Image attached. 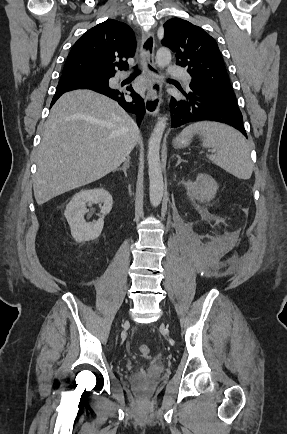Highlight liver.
Masks as SVG:
<instances>
[{"instance_id":"6515ba94","label":"liver","mask_w":287,"mask_h":434,"mask_svg":"<svg viewBox=\"0 0 287 434\" xmlns=\"http://www.w3.org/2000/svg\"><path fill=\"white\" fill-rule=\"evenodd\" d=\"M118 103L90 90L64 93L44 125L33 182L42 205L116 170L139 141Z\"/></svg>"}]
</instances>
